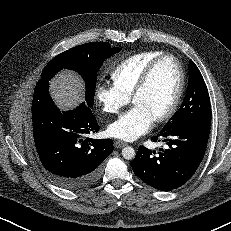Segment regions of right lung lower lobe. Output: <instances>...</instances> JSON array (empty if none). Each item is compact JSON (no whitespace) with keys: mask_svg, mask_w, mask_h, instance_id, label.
Listing matches in <instances>:
<instances>
[{"mask_svg":"<svg viewBox=\"0 0 231 231\" xmlns=\"http://www.w3.org/2000/svg\"><path fill=\"white\" fill-rule=\"evenodd\" d=\"M49 82L40 79L32 101L34 142L48 177L58 186L76 191L94 183L103 161L112 153L111 139H91L99 130L91 107L82 103L61 112L49 94Z\"/></svg>","mask_w":231,"mask_h":231,"instance_id":"obj_1","label":"right lung lower lobe"}]
</instances>
